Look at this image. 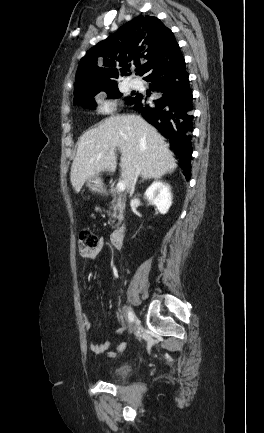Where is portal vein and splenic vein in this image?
<instances>
[{
    "label": "portal vein and splenic vein",
    "mask_w": 264,
    "mask_h": 433,
    "mask_svg": "<svg viewBox=\"0 0 264 433\" xmlns=\"http://www.w3.org/2000/svg\"><path fill=\"white\" fill-rule=\"evenodd\" d=\"M126 189V184L124 181H119L117 184L118 192H123Z\"/></svg>",
    "instance_id": "portal-vein-and-splenic-vein-1"
}]
</instances>
